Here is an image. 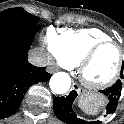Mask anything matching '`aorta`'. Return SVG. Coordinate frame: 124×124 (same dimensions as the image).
I'll return each instance as SVG.
<instances>
[{
	"instance_id": "762f6f07",
	"label": "aorta",
	"mask_w": 124,
	"mask_h": 124,
	"mask_svg": "<svg viewBox=\"0 0 124 124\" xmlns=\"http://www.w3.org/2000/svg\"><path fill=\"white\" fill-rule=\"evenodd\" d=\"M49 84L55 94H64L70 88L71 79L65 72H57L51 77Z\"/></svg>"
}]
</instances>
